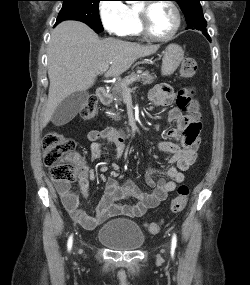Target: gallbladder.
<instances>
[{"instance_id": "bac80fb5", "label": "gallbladder", "mask_w": 250, "mask_h": 285, "mask_svg": "<svg viewBox=\"0 0 250 285\" xmlns=\"http://www.w3.org/2000/svg\"><path fill=\"white\" fill-rule=\"evenodd\" d=\"M89 97L87 91L75 92L65 98L55 109L51 121L56 126L70 122L86 105Z\"/></svg>"}]
</instances>
